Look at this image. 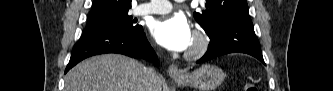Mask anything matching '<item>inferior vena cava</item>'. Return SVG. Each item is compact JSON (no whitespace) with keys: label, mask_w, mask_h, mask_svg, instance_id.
<instances>
[{"label":"inferior vena cava","mask_w":333,"mask_h":91,"mask_svg":"<svg viewBox=\"0 0 333 91\" xmlns=\"http://www.w3.org/2000/svg\"><path fill=\"white\" fill-rule=\"evenodd\" d=\"M157 75L154 68H146L145 70V84L146 91H154V85L157 82Z\"/></svg>","instance_id":"obj_1"}]
</instances>
